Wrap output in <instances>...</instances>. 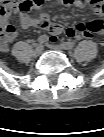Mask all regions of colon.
I'll use <instances>...</instances> for the list:
<instances>
[{"label":"colon","mask_w":104,"mask_h":137,"mask_svg":"<svg viewBox=\"0 0 104 137\" xmlns=\"http://www.w3.org/2000/svg\"><path fill=\"white\" fill-rule=\"evenodd\" d=\"M9 2H13L15 0H8ZM20 10L22 11H27L29 9V6L25 3L20 4L19 6ZM87 29L91 31H101L103 28V22L100 19H95L92 20L91 22L86 23ZM14 31V27L12 25H8L6 27H1V41L8 35H10ZM67 37H73L75 34V31L72 28L65 29L63 32ZM61 34V33H60ZM58 40V34L55 33L54 31L51 32L50 34V41L51 42H56Z\"/></svg>","instance_id":"obj_1"}]
</instances>
